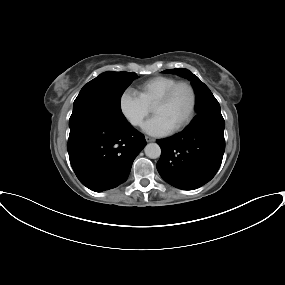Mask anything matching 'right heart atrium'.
<instances>
[{
    "mask_svg": "<svg viewBox=\"0 0 285 285\" xmlns=\"http://www.w3.org/2000/svg\"><path fill=\"white\" fill-rule=\"evenodd\" d=\"M119 110L124 119L133 127L142 126L151 112V108L130 89H126L120 94Z\"/></svg>",
    "mask_w": 285,
    "mask_h": 285,
    "instance_id": "1",
    "label": "right heart atrium"
}]
</instances>
